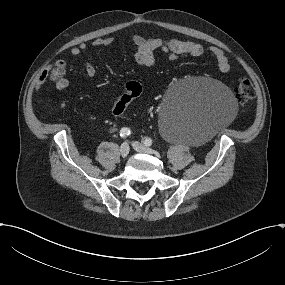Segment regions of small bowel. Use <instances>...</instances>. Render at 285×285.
Wrapping results in <instances>:
<instances>
[{"label":"small bowel","instance_id":"small-bowel-1","mask_svg":"<svg viewBox=\"0 0 285 285\" xmlns=\"http://www.w3.org/2000/svg\"><path fill=\"white\" fill-rule=\"evenodd\" d=\"M133 43L132 55L137 64L145 67H151L155 64V53L160 51L167 57L176 61L181 57L192 56L200 57L205 54L210 55L215 60L218 69L221 72L230 70L229 60L221 48L212 46L209 48L203 47L201 44L193 41H183L175 38L161 39L159 37L144 38L140 35H132L130 37ZM115 42L113 37H101L94 39L90 45L82 43L71 50L73 56L79 57L85 53L89 47L104 48L111 46ZM85 72L87 77L93 78L96 74L94 65L85 61ZM48 71H44L38 82L37 89L40 90L47 78ZM69 86V80L65 77L60 78L56 82V91L62 93Z\"/></svg>","mask_w":285,"mask_h":285}]
</instances>
